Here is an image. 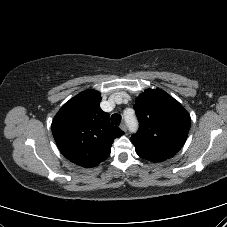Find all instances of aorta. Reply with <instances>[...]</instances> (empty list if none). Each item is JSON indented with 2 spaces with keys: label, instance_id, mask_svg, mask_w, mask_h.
<instances>
[{
  "label": "aorta",
  "instance_id": "aorta-1",
  "mask_svg": "<svg viewBox=\"0 0 227 227\" xmlns=\"http://www.w3.org/2000/svg\"><path fill=\"white\" fill-rule=\"evenodd\" d=\"M125 122L131 132H136L138 129V121L134 115V111L126 110L124 112Z\"/></svg>",
  "mask_w": 227,
  "mask_h": 227
}]
</instances>
